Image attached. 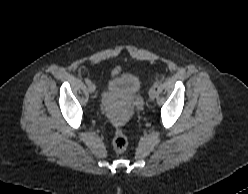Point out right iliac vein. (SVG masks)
<instances>
[{"label":"right iliac vein","instance_id":"63e3f726","mask_svg":"<svg viewBox=\"0 0 248 194\" xmlns=\"http://www.w3.org/2000/svg\"><path fill=\"white\" fill-rule=\"evenodd\" d=\"M95 89H96V87H95V85L93 83H89L88 84V91L90 93H94L95 92Z\"/></svg>","mask_w":248,"mask_h":194}]
</instances>
